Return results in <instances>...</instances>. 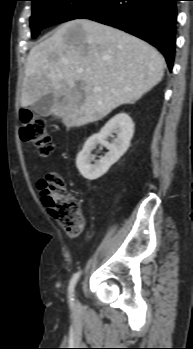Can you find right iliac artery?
<instances>
[{
  "instance_id": "obj_1",
  "label": "right iliac artery",
  "mask_w": 193,
  "mask_h": 349,
  "mask_svg": "<svg viewBox=\"0 0 193 349\" xmlns=\"http://www.w3.org/2000/svg\"><path fill=\"white\" fill-rule=\"evenodd\" d=\"M81 272H77L76 274H74V276L72 277L70 283H69V288H68V292H69V303L71 308H73L74 303H73V291H74V287L80 277Z\"/></svg>"
}]
</instances>
